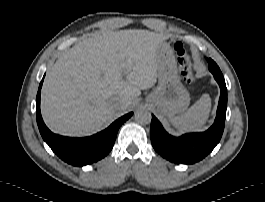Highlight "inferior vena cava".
I'll return each mask as SVG.
<instances>
[{
    "label": "inferior vena cava",
    "instance_id": "1",
    "mask_svg": "<svg viewBox=\"0 0 265 202\" xmlns=\"http://www.w3.org/2000/svg\"><path fill=\"white\" fill-rule=\"evenodd\" d=\"M112 101L114 106H119L121 103V97H114Z\"/></svg>",
    "mask_w": 265,
    "mask_h": 202
}]
</instances>
